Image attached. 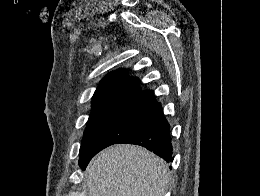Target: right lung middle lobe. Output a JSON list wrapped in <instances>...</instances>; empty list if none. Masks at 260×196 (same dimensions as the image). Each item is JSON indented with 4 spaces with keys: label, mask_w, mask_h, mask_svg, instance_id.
<instances>
[{
    "label": "right lung middle lobe",
    "mask_w": 260,
    "mask_h": 196,
    "mask_svg": "<svg viewBox=\"0 0 260 196\" xmlns=\"http://www.w3.org/2000/svg\"><path fill=\"white\" fill-rule=\"evenodd\" d=\"M157 118L132 104L93 106L80 149L102 150Z\"/></svg>",
    "instance_id": "right-lung-middle-lobe-1"
}]
</instances>
